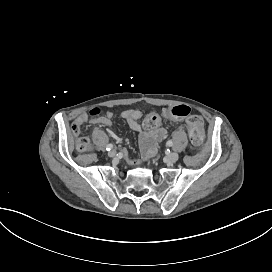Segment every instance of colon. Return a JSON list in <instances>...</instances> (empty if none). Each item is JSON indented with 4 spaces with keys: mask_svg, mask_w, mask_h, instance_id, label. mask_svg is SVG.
I'll return each instance as SVG.
<instances>
[{
    "mask_svg": "<svg viewBox=\"0 0 272 272\" xmlns=\"http://www.w3.org/2000/svg\"><path fill=\"white\" fill-rule=\"evenodd\" d=\"M166 112L173 118H186L189 115V107L187 105L178 104L176 106L165 107ZM104 109L100 106L92 108L88 115L90 117H97L103 113ZM187 128L191 142L194 145H199L203 140L202 120L199 117H192L189 119ZM80 129V122H76L72 126V130L77 132ZM78 148L84 149L89 145V139L83 136L78 141Z\"/></svg>",
    "mask_w": 272,
    "mask_h": 272,
    "instance_id": "obj_1",
    "label": "colon"
}]
</instances>
